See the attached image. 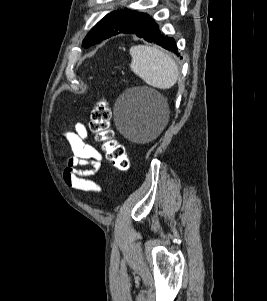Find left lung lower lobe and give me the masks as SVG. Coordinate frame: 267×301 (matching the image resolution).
Wrapping results in <instances>:
<instances>
[{
    "label": "left lung lower lobe",
    "instance_id": "obj_1",
    "mask_svg": "<svg viewBox=\"0 0 267 301\" xmlns=\"http://www.w3.org/2000/svg\"><path fill=\"white\" fill-rule=\"evenodd\" d=\"M124 34H134L148 42H153L163 48L178 54L177 46L173 38L161 34L157 23L152 18H147L140 24L126 30Z\"/></svg>",
    "mask_w": 267,
    "mask_h": 301
}]
</instances>
